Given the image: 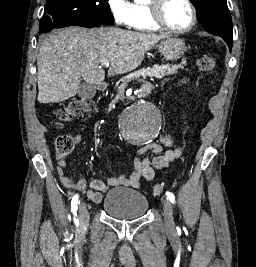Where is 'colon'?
Wrapping results in <instances>:
<instances>
[{
	"label": "colon",
	"mask_w": 256,
	"mask_h": 267,
	"mask_svg": "<svg viewBox=\"0 0 256 267\" xmlns=\"http://www.w3.org/2000/svg\"><path fill=\"white\" fill-rule=\"evenodd\" d=\"M198 67L203 73H211L214 70L215 63L212 58L203 57L198 61ZM92 111L93 101L88 99L73 100L56 112L55 127L62 129L68 122L86 117ZM56 148L59 155L65 157L73 150L74 139L68 135L58 136ZM152 190L155 195H162L165 192V186L162 183H156Z\"/></svg>",
	"instance_id": "obj_1"
}]
</instances>
